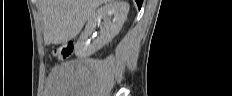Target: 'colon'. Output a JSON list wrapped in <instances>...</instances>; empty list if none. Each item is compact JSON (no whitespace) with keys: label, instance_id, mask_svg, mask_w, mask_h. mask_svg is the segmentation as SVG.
Listing matches in <instances>:
<instances>
[{"label":"colon","instance_id":"colon-1","mask_svg":"<svg viewBox=\"0 0 232 96\" xmlns=\"http://www.w3.org/2000/svg\"><path fill=\"white\" fill-rule=\"evenodd\" d=\"M75 48V43L73 41H69L55 50L54 55L59 59H66L73 54Z\"/></svg>","mask_w":232,"mask_h":96}]
</instances>
